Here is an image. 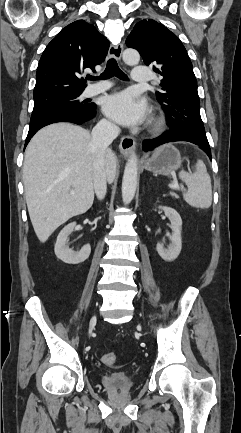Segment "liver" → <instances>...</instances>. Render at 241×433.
Here are the masks:
<instances>
[{
  "label": "liver",
  "mask_w": 241,
  "mask_h": 433,
  "mask_svg": "<svg viewBox=\"0 0 241 433\" xmlns=\"http://www.w3.org/2000/svg\"><path fill=\"white\" fill-rule=\"evenodd\" d=\"M90 133L70 123L39 130L29 142L23 163L27 208L40 242L70 218L85 213L94 201ZM117 158L105 151L106 179L116 176ZM71 188L74 194H71Z\"/></svg>",
  "instance_id": "6515ba94"
}]
</instances>
